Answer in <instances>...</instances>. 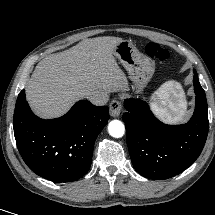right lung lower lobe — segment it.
<instances>
[{
    "label": "right lung lower lobe",
    "instance_id": "right-lung-lower-lobe-1",
    "mask_svg": "<svg viewBox=\"0 0 215 215\" xmlns=\"http://www.w3.org/2000/svg\"><path fill=\"white\" fill-rule=\"evenodd\" d=\"M14 113V135L27 166L54 182H71L84 176L92 162L94 142L109 120L107 106L76 103L64 116L43 120L33 114L22 90Z\"/></svg>",
    "mask_w": 215,
    "mask_h": 215
}]
</instances>
